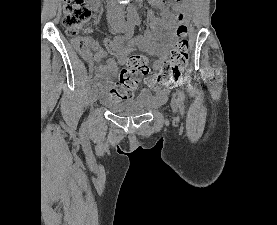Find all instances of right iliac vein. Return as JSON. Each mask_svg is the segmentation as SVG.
I'll return each mask as SVG.
<instances>
[{
	"instance_id": "right-iliac-vein-1",
	"label": "right iliac vein",
	"mask_w": 277,
	"mask_h": 225,
	"mask_svg": "<svg viewBox=\"0 0 277 225\" xmlns=\"http://www.w3.org/2000/svg\"><path fill=\"white\" fill-rule=\"evenodd\" d=\"M116 32H120L121 30L120 29H116L115 30ZM97 98H98V92H97V90H93V92H92V96H91V102H92V104H94L96 101H97Z\"/></svg>"
}]
</instances>
